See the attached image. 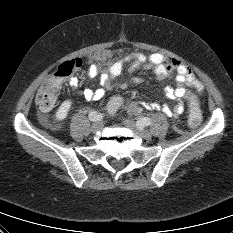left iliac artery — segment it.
Here are the masks:
<instances>
[{
    "label": "left iliac artery",
    "mask_w": 233,
    "mask_h": 233,
    "mask_svg": "<svg viewBox=\"0 0 233 233\" xmlns=\"http://www.w3.org/2000/svg\"><path fill=\"white\" fill-rule=\"evenodd\" d=\"M152 121L150 118H147V117H144V118H141L139 121H138V124L139 125H142V126H149L151 125Z\"/></svg>",
    "instance_id": "44dca946"
}]
</instances>
